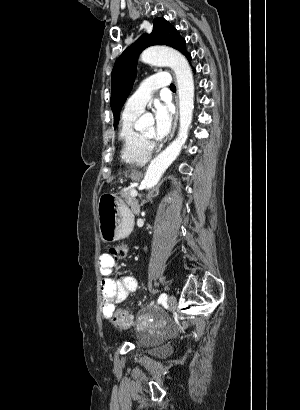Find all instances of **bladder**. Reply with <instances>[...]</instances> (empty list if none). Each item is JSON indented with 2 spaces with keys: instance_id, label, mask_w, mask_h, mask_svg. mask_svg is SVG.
Instances as JSON below:
<instances>
[{
  "instance_id": "31cf9c89",
  "label": "bladder",
  "mask_w": 300,
  "mask_h": 410,
  "mask_svg": "<svg viewBox=\"0 0 300 410\" xmlns=\"http://www.w3.org/2000/svg\"><path fill=\"white\" fill-rule=\"evenodd\" d=\"M164 347L165 345L163 343H154L147 345L145 350L152 355H159L163 353Z\"/></svg>"
}]
</instances>
